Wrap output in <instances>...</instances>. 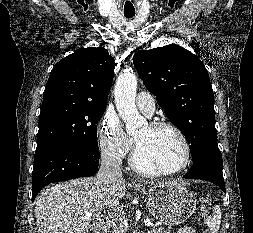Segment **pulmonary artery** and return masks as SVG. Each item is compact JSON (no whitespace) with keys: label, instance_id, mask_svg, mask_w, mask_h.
Masks as SVG:
<instances>
[{"label":"pulmonary artery","instance_id":"obj_1","mask_svg":"<svg viewBox=\"0 0 253 233\" xmlns=\"http://www.w3.org/2000/svg\"><path fill=\"white\" fill-rule=\"evenodd\" d=\"M136 105L147 116H152L155 111V100L148 92H140L137 94Z\"/></svg>","mask_w":253,"mask_h":233}]
</instances>
